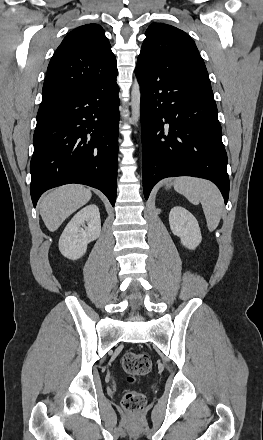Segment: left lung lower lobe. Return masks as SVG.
Listing matches in <instances>:
<instances>
[{
  "mask_svg": "<svg viewBox=\"0 0 263 440\" xmlns=\"http://www.w3.org/2000/svg\"><path fill=\"white\" fill-rule=\"evenodd\" d=\"M135 74L141 87L145 199L163 178L194 176L215 183L227 203V154L211 87L172 67L137 65Z\"/></svg>",
  "mask_w": 263,
  "mask_h": 440,
  "instance_id": "left-lung-lower-lobe-1",
  "label": "left lung lower lobe"
}]
</instances>
